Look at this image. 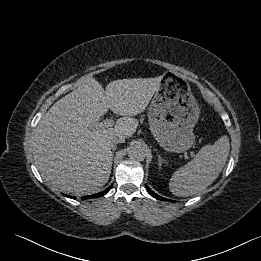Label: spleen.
<instances>
[{
  "mask_svg": "<svg viewBox=\"0 0 261 261\" xmlns=\"http://www.w3.org/2000/svg\"><path fill=\"white\" fill-rule=\"evenodd\" d=\"M229 138L221 136L213 145L201 148L195 158L177 169L169 182L172 194L180 197L195 195L217 179L229 155Z\"/></svg>",
  "mask_w": 261,
  "mask_h": 261,
  "instance_id": "3e777b00",
  "label": "spleen"
}]
</instances>
